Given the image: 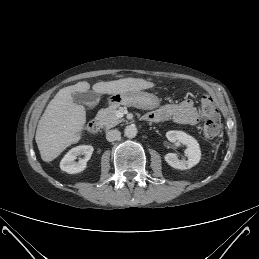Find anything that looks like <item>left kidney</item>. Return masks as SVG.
Listing matches in <instances>:
<instances>
[{"instance_id":"obj_1","label":"left kidney","mask_w":259,"mask_h":259,"mask_svg":"<svg viewBox=\"0 0 259 259\" xmlns=\"http://www.w3.org/2000/svg\"><path fill=\"white\" fill-rule=\"evenodd\" d=\"M166 137L170 142H179L187 146L185 154L187 160H179L175 153L165 155V161L171 167L180 170L190 169L199 163L201 159V151L199 144L195 138L183 131L171 130L166 133Z\"/></svg>"}]
</instances>
